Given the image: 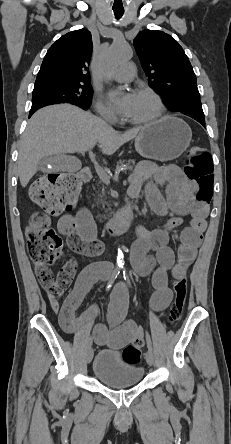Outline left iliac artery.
<instances>
[{
    "label": "left iliac artery",
    "mask_w": 231,
    "mask_h": 444,
    "mask_svg": "<svg viewBox=\"0 0 231 444\" xmlns=\"http://www.w3.org/2000/svg\"><path fill=\"white\" fill-rule=\"evenodd\" d=\"M123 274H124V279L127 280L129 286H131L130 281H129V278H128V276L126 275L125 271H123ZM146 339H147L148 349H149V350H152V342H151V339H150V337H149L148 334L146 335Z\"/></svg>",
    "instance_id": "obj_1"
}]
</instances>
